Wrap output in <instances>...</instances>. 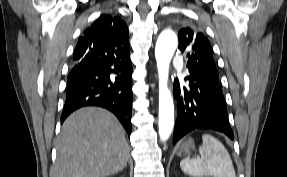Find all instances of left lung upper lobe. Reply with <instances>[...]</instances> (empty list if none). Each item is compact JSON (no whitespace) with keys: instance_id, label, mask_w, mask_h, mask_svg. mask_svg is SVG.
<instances>
[{"instance_id":"1","label":"left lung upper lobe","mask_w":287,"mask_h":177,"mask_svg":"<svg viewBox=\"0 0 287 177\" xmlns=\"http://www.w3.org/2000/svg\"><path fill=\"white\" fill-rule=\"evenodd\" d=\"M178 37L179 50L188 59L187 67L190 75L205 86H220L213 51L203 33L190 27H183Z\"/></svg>"}]
</instances>
